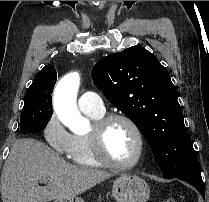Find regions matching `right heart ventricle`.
Here are the masks:
<instances>
[{
  "mask_svg": "<svg viewBox=\"0 0 209 202\" xmlns=\"http://www.w3.org/2000/svg\"><path fill=\"white\" fill-rule=\"evenodd\" d=\"M93 120L103 117V114H95L92 112H84ZM68 159L84 167H100L101 163L96 159L91 149L88 135H74L70 150L66 154Z\"/></svg>",
  "mask_w": 209,
  "mask_h": 202,
  "instance_id": "right-heart-ventricle-1",
  "label": "right heart ventricle"
}]
</instances>
